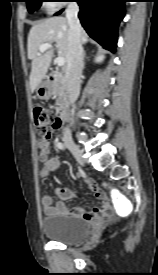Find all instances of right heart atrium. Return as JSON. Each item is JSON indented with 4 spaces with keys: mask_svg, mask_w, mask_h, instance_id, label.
<instances>
[{
    "mask_svg": "<svg viewBox=\"0 0 158 275\" xmlns=\"http://www.w3.org/2000/svg\"><path fill=\"white\" fill-rule=\"evenodd\" d=\"M54 2H62V1H54ZM55 5H59V3H55Z\"/></svg>",
    "mask_w": 158,
    "mask_h": 275,
    "instance_id": "d8ad5b80",
    "label": "right heart atrium"
}]
</instances>
